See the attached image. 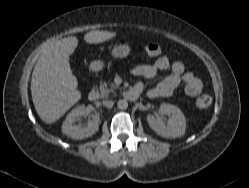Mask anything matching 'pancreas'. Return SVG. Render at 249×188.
Masks as SVG:
<instances>
[{"mask_svg": "<svg viewBox=\"0 0 249 188\" xmlns=\"http://www.w3.org/2000/svg\"><path fill=\"white\" fill-rule=\"evenodd\" d=\"M115 88H116V86H114L113 84H109L108 85V83H106V82L101 83L100 87H99V89H100V96L102 98L107 97L110 94V92H114Z\"/></svg>", "mask_w": 249, "mask_h": 188, "instance_id": "1", "label": "pancreas"}]
</instances>
